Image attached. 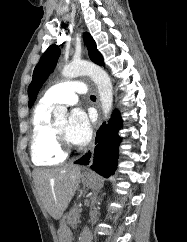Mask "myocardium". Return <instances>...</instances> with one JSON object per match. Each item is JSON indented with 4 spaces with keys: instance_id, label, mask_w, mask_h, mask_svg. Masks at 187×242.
Wrapping results in <instances>:
<instances>
[{
    "instance_id": "f54148a6",
    "label": "myocardium",
    "mask_w": 187,
    "mask_h": 242,
    "mask_svg": "<svg viewBox=\"0 0 187 242\" xmlns=\"http://www.w3.org/2000/svg\"><path fill=\"white\" fill-rule=\"evenodd\" d=\"M52 131H53L56 145L59 148V150L64 154L69 153L71 150V146L66 142L63 135L57 131V129L55 128V125H52Z\"/></svg>"
}]
</instances>
